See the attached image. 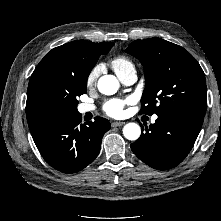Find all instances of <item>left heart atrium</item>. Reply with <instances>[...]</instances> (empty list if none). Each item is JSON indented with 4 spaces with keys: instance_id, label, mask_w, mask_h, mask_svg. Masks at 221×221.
<instances>
[{
    "instance_id": "obj_1",
    "label": "left heart atrium",
    "mask_w": 221,
    "mask_h": 221,
    "mask_svg": "<svg viewBox=\"0 0 221 221\" xmlns=\"http://www.w3.org/2000/svg\"><path fill=\"white\" fill-rule=\"evenodd\" d=\"M129 101L111 99L104 103L103 111L111 117H120L124 114V107Z\"/></svg>"
}]
</instances>
